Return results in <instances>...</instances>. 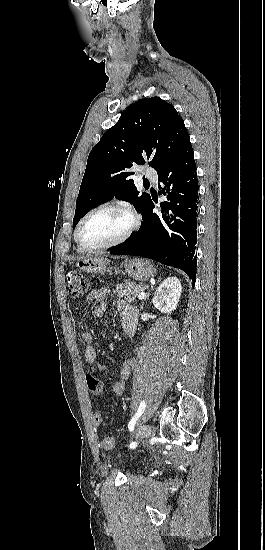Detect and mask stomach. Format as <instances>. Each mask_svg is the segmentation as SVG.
I'll return each mask as SVG.
<instances>
[{"instance_id":"0dacf381","label":"stomach","mask_w":265,"mask_h":550,"mask_svg":"<svg viewBox=\"0 0 265 550\" xmlns=\"http://www.w3.org/2000/svg\"><path fill=\"white\" fill-rule=\"evenodd\" d=\"M110 260L102 255L95 254L77 260L76 267L92 274H104L111 270ZM126 273L135 280L144 281L152 277L155 268L145 259L135 258L123 262Z\"/></svg>"}]
</instances>
